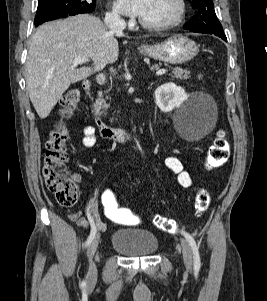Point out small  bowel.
<instances>
[{"mask_svg":"<svg viewBox=\"0 0 267 301\" xmlns=\"http://www.w3.org/2000/svg\"><path fill=\"white\" fill-rule=\"evenodd\" d=\"M82 132V143L84 146L93 147L97 145L95 128L93 126H85L82 129ZM164 163L167 168H169L176 175L177 181L182 187L189 188L192 186V177L190 173L185 169L184 163L179 158L175 156H168L165 158ZM76 179L78 180L77 176ZM69 218L79 227L84 229H89L91 227L89 219L91 218L97 225L99 231L105 232L107 230V226L101 221L95 201H92L86 208V216H82L79 211H75L69 215Z\"/></svg>","mask_w":267,"mask_h":301,"instance_id":"c3829d8e","label":"small bowel"}]
</instances>
